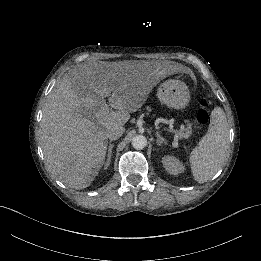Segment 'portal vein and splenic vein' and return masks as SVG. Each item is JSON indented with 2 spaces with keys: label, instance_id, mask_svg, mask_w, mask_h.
<instances>
[{
  "label": "portal vein and splenic vein",
  "instance_id": "1",
  "mask_svg": "<svg viewBox=\"0 0 261 261\" xmlns=\"http://www.w3.org/2000/svg\"><path fill=\"white\" fill-rule=\"evenodd\" d=\"M178 138L179 139H182L183 138V135L181 132H177L175 134V137L173 138V143L171 144V147L172 148H175V147H179V144L177 143L178 142Z\"/></svg>",
  "mask_w": 261,
  "mask_h": 261
}]
</instances>
